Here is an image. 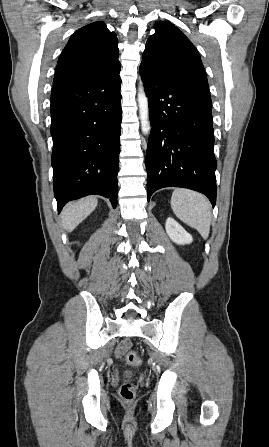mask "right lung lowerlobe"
Here are the masks:
<instances>
[{
    "label": "right lung lower lobe",
    "instance_id": "98d812e1",
    "mask_svg": "<svg viewBox=\"0 0 269 447\" xmlns=\"http://www.w3.org/2000/svg\"><path fill=\"white\" fill-rule=\"evenodd\" d=\"M120 71L99 80L53 86L51 135L58 212L70 200L97 194L117 205Z\"/></svg>",
    "mask_w": 269,
    "mask_h": 447
}]
</instances>
